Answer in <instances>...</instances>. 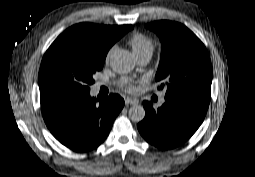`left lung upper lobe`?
<instances>
[{"label": "left lung upper lobe", "mask_w": 255, "mask_h": 177, "mask_svg": "<svg viewBox=\"0 0 255 177\" xmlns=\"http://www.w3.org/2000/svg\"><path fill=\"white\" fill-rule=\"evenodd\" d=\"M146 28L161 40V60L156 73L166 96L211 93L212 66L208 52L199 38L184 25L156 21Z\"/></svg>", "instance_id": "5c2ea615"}]
</instances>
